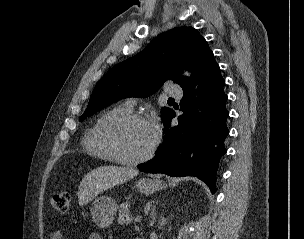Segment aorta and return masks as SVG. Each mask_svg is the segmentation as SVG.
<instances>
[{"label":"aorta","instance_id":"762f6f07","mask_svg":"<svg viewBox=\"0 0 304 239\" xmlns=\"http://www.w3.org/2000/svg\"><path fill=\"white\" fill-rule=\"evenodd\" d=\"M185 74L188 76L189 75V73H187V72H185Z\"/></svg>","mask_w":304,"mask_h":239}]
</instances>
